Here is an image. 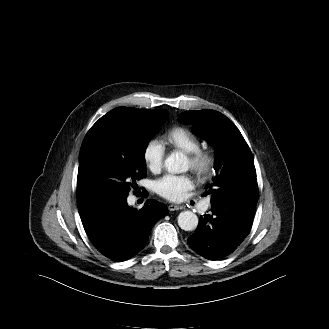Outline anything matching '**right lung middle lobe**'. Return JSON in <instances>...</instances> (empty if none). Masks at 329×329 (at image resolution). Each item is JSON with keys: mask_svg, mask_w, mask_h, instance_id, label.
<instances>
[{"mask_svg": "<svg viewBox=\"0 0 329 329\" xmlns=\"http://www.w3.org/2000/svg\"><path fill=\"white\" fill-rule=\"evenodd\" d=\"M167 117L166 110L143 116L132 107H118L91 128L79 155V202L97 194L127 196L136 181L146 176L145 150Z\"/></svg>", "mask_w": 329, "mask_h": 329, "instance_id": "right-lung-middle-lobe-1", "label": "right lung middle lobe"}]
</instances>
